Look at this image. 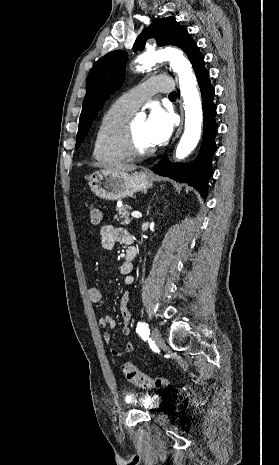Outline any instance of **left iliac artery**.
I'll use <instances>...</instances> for the list:
<instances>
[{
    "instance_id": "obj_1",
    "label": "left iliac artery",
    "mask_w": 279,
    "mask_h": 465,
    "mask_svg": "<svg viewBox=\"0 0 279 465\" xmlns=\"http://www.w3.org/2000/svg\"><path fill=\"white\" fill-rule=\"evenodd\" d=\"M136 332L146 341L149 337V328L145 322H138Z\"/></svg>"
}]
</instances>
